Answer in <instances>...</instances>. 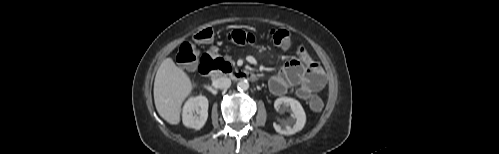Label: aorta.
Segmentation results:
<instances>
[{
	"instance_id": "aorta-1",
	"label": "aorta",
	"mask_w": 499,
	"mask_h": 154,
	"mask_svg": "<svg viewBox=\"0 0 499 154\" xmlns=\"http://www.w3.org/2000/svg\"><path fill=\"white\" fill-rule=\"evenodd\" d=\"M237 88L239 91H246L249 88V83L246 79H242L238 82Z\"/></svg>"
}]
</instances>
